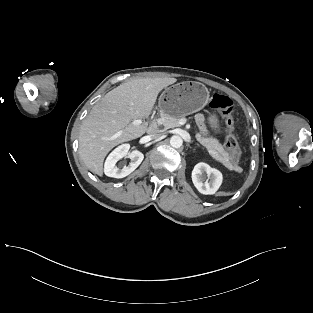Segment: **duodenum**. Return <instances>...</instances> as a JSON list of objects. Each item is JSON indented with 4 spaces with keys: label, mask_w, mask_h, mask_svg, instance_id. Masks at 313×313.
<instances>
[{
    "label": "duodenum",
    "mask_w": 313,
    "mask_h": 313,
    "mask_svg": "<svg viewBox=\"0 0 313 313\" xmlns=\"http://www.w3.org/2000/svg\"><path fill=\"white\" fill-rule=\"evenodd\" d=\"M157 127H158L157 122L156 120H154L149 127V132L154 133L157 130Z\"/></svg>",
    "instance_id": "1"
}]
</instances>
